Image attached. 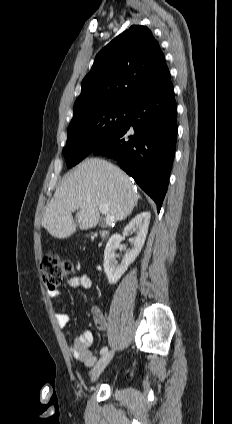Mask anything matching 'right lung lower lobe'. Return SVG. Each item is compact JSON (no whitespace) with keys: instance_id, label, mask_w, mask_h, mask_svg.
<instances>
[{"instance_id":"98d812e1","label":"right lung lower lobe","mask_w":232,"mask_h":424,"mask_svg":"<svg viewBox=\"0 0 232 424\" xmlns=\"http://www.w3.org/2000/svg\"><path fill=\"white\" fill-rule=\"evenodd\" d=\"M177 138V107L168 73L131 106L128 122L92 154L119 166L155 201L160 211L167 191Z\"/></svg>"}]
</instances>
